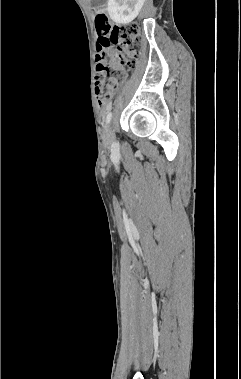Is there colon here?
I'll return each instance as SVG.
<instances>
[{"instance_id": "5ec220e1", "label": "colon", "mask_w": 241, "mask_h": 379, "mask_svg": "<svg viewBox=\"0 0 241 379\" xmlns=\"http://www.w3.org/2000/svg\"><path fill=\"white\" fill-rule=\"evenodd\" d=\"M97 31L102 37L97 46L95 91L101 106H107L116 86L121 66H134L141 49L139 26L136 23L109 25L106 8L95 9ZM109 34L104 36V34Z\"/></svg>"}]
</instances>
